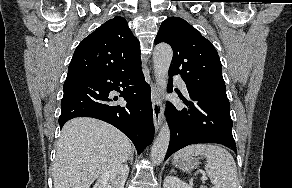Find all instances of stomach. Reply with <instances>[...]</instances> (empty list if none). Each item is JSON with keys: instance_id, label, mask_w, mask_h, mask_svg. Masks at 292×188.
Wrapping results in <instances>:
<instances>
[{"instance_id": "1", "label": "stomach", "mask_w": 292, "mask_h": 188, "mask_svg": "<svg viewBox=\"0 0 292 188\" xmlns=\"http://www.w3.org/2000/svg\"><path fill=\"white\" fill-rule=\"evenodd\" d=\"M172 164L175 167L182 169L183 171H189L198 165V158L195 155H190L178 159L174 158Z\"/></svg>"}]
</instances>
